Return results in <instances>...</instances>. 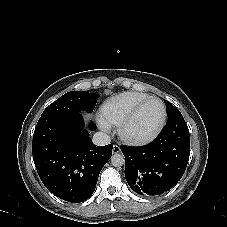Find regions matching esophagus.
<instances>
[{
  "label": "esophagus",
  "mask_w": 227,
  "mask_h": 227,
  "mask_svg": "<svg viewBox=\"0 0 227 227\" xmlns=\"http://www.w3.org/2000/svg\"><path fill=\"white\" fill-rule=\"evenodd\" d=\"M120 151H121L120 146L115 144L113 146V154L120 153Z\"/></svg>",
  "instance_id": "esophagus-1"
}]
</instances>
